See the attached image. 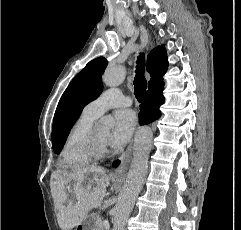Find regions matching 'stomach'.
<instances>
[{
  "label": "stomach",
  "mask_w": 241,
  "mask_h": 230,
  "mask_svg": "<svg viewBox=\"0 0 241 230\" xmlns=\"http://www.w3.org/2000/svg\"><path fill=\"white\" fill-rule=\"evenodd\" d=\"M92 176V175H91ZM93 178V177H91ZM95 220L92 217H86L81 224L76 226V230H95Z\"/></svg>",
  "instance_id": "stomach-1"
}]
</instances>
